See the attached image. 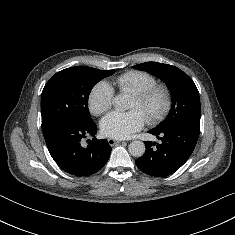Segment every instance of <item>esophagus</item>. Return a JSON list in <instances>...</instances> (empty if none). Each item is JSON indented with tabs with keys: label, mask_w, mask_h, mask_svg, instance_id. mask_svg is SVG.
<instances>
[{
	"label": "esophagus",
	"mask_w": 235,
	"mask_h": 235,
	"mask_svg": "<svg viewBox=\"0 0 235 235\" xmlns=\"http://www.w3.org/2000/svg\"><path fill=\"white\" fill-rule=\"evenodd\" d=\"M121 141L120 140H116V139H113V138H109L108 139V143L110 146H114L116 144H119Z\"/></svg>",
	"instance_id": "obj_1"
}]
</instances>
